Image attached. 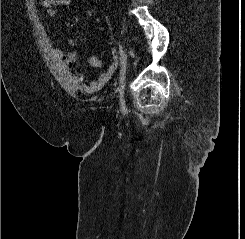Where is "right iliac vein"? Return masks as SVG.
<instances>
[{"label":"right iliac vein","instance_id":"1","mask_svg":"<svg viewBox=\"0 0 245 239\" xmlns=\"http://www.w3.org/2000/svg\"><path fill=\"white\" fill-rule=\"evenodd\" d=\"M125 79H126V65L123 67L121 74H120V80H119V87H118V93H119V104L121 110L126 109V100H125Z\"/></svg>","mask_w":245,"mask_h":239}]
</instances>
